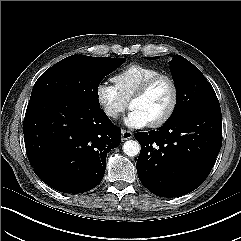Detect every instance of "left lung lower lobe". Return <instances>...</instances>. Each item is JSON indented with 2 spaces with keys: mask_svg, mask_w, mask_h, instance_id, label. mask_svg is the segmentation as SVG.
<instances>
[{
  "mask_svg": "<svg viewBox=\"0 0 241 241\" xmlns=\"http://www.w3.org/2000/svg\"><path fill=\"white\" fill-rule=\"evenodd\" d=\"M135 138L141 183L157 196L179 197L198 188L213 168L222 145L221 111L186 112Z\"/></svg>",
  "mask_w": 241,
  "mask_h": 241,
  "instance_id": "0a47b994",
  "label": "left lung lower lobe"
}]
</instances>
